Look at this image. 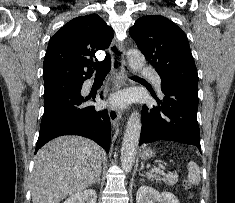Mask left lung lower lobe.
I'll return each instance as SVG.
<instances>
[{
  "label": "left lung lower lobe",
  "mask_w": 235,
  "mask_h": 203,
  "mask_svg": "<svg viewBox=\"0 0 235 203\" xmlns=\"http://www.w3.org/2000/svg\"><path fill=\"white\" fill-rule=\"evenodd\" d=\"M162 100L153 97L161 106L141 112L142 130L139 145L158 140L175 141L196 146L201 151L197 122L198 90L184 84L161 83Z\"/></svg>",
  "instance_id": "obj_1"
}]
</instances>
